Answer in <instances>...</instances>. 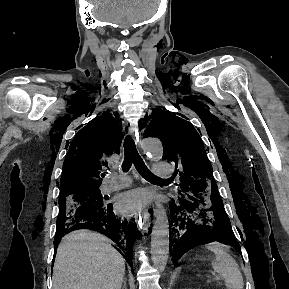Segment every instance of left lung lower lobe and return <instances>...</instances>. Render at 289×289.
Instances as JSON below:
<instances>
[{
	"label": "left lung lower lobe",
	"instance_id": "1",
	"mask_svg": "<svg viewBox=\"0 0 289 289\" xmlns=\"http://www.w3.org/2000/svg\"><path fill=\"white\" fill-rule=\"evenodd\" d=\"M170 209L169 249L173 263L194 247V240L203 237L222 238L238 249L239 244L217 189L206 192L195 187L172 199Z\"/></svg>",
	"mask_w": 289,
	"mask_h": 289
}]
</instances>
